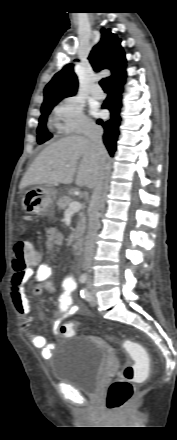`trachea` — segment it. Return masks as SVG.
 I'll use <instances>...</instances> for the list:
<instances>
[{"instance_id": "1", "label": "trachea", "mask_w": 177, "mask_h": 440, "mask_svg": "<svg viewBox=\"0 0 177 440\" xmlns=\"http://www.w3.org/2000/svg\"><path fill=\"white\" fill-rule=\"evenodd\" d=\"M100 85H101V87L103 88V90H109V87H108L107 82H106L105 79H102V80L100 81Z\"/></svg>"}]
</instances>
